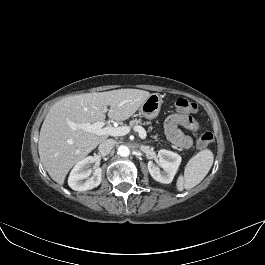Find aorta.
Wrapping results in <instances>:
<instances>
[{
  "label": "aorta",
  "instance_id": "aorta-1",
  "mask_svg": "<svg viewBox=\"0 0 265 265\" xmlns=\"http://www.w3.org/2000/svg\"><path fill=\"white\" fill-rule=\"evenodd\" d=\"M117 153L121 157H128L130 155V149L127 146H125V145H121V146L118 147Z\"/></svg>",
  "mask_w": 265,
  "mask_h": 265
}]
</instances>
